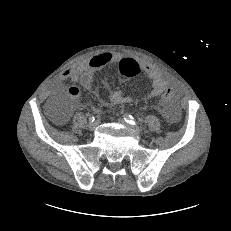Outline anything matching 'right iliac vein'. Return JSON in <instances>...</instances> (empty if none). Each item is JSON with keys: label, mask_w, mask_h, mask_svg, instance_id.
<instances>
[{"label": "right iliac vein", "mask_w": 231, "mask_h": 231, "mask_svg": "<svg viewBox=\"0 0 231 231\" xmlns=\"http://www.w3.org/2000/svg\"><path fill=\"white\" fill-rule=\"evenodd\" d=\"M95 128H96V124H95V123L90 122V123L88 124V129H89L90 131H93Z\"/></svg>", "instance_id": "obj_1"}]
</instances>
